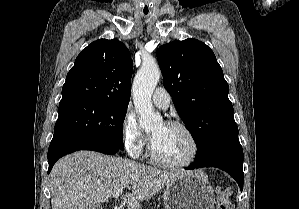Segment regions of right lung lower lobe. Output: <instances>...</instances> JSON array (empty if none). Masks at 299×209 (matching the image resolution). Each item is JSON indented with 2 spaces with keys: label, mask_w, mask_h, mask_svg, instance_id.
Segmentation results:
<instances>
[{
  "label": "right lung lower lobe",
  "mask_w": 299,
  "mask_h": 209,
  "mask_svg": "<svg viewBox=\"0 0 299 209\" xmlns=\"http://www.w3.org/2000/svg\"><path fill=\"white\" fill-rule=\"evenodd\" d=\"M78 150H92L112 155L121 149L102 139L87 138L64 132L54 133L48 150V173L59 158Z\"/></svg>",
  "instance_id": "obj_1"
}]
</instances>
